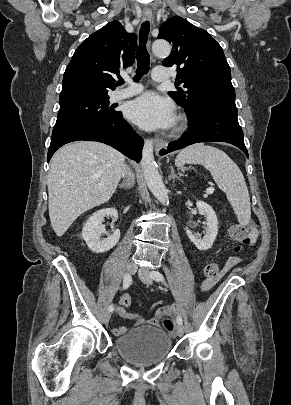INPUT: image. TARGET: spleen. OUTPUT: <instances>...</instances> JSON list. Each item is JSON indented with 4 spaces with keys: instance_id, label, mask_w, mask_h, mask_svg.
<instances>
[{
    "instance_id": "1",
    "label": "spleen",
    "mask_w": 291,
    "mask_h": 405,
    "mask_svg": "<svg viewBox=\"0 0 291 405\" xmlns=\"http://www.w3.org/2000/svg\"><path fill=\"white\" fill-rule=\"evenodd\" d=\"M178 167L201 164L211 172L218 187L226 193L240 224L251 218L250 197L244 176L237 164L222 150L195 144L183 149L175 159Z\"/></svg>"
}]
</instances>
